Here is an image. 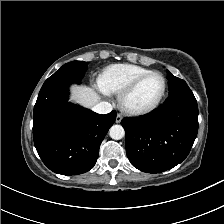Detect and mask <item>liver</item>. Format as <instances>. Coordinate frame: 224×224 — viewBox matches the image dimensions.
<instances>
[{"instance_id":"6515ba94","label":"liver","mask_w":224,"mask_h":224,"mask_svg":"<svg viewBox=\"0 0 224 224\" xmlns=\"http://www.w3.org/2000/svg\"><path fill=\"white\" fill-rule=\"evenodd\" d=\"M70 101L76 102L84 107L93 108L100 101V95L88 86L71 87Z\"/></svg>"}]
</instances>
